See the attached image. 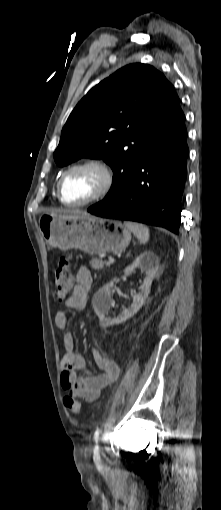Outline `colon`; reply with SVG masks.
<instances>
[{"instance_id":"colon-1","label":"colon","mask_w":221,"mask_h":510,"mask_svg":"<svg viewBox=\"0 0 221 510\" xmlns=\"http://www.w3.org/2000/svg\"><path fill=\"white\" fill-rule=\"evenodd\" d=\"M54 286L55 299L57 301L64 300L73 288V275L71 271V263L68 257H61L54 268ZM65 406L73 413H79L82 409L80 400L72 396L64 398Z\"/></svg>"}]
</instances>
